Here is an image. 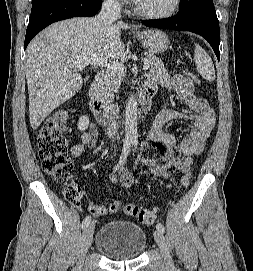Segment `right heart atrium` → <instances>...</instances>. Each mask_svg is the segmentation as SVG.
<instances>
[{"instance_id": "d8ad5b80", "label": "right heart atrium", "mask_w": 253, "mask_h": 271, "mask_svg": "<svg viewBox=\"0 0 253 271\" xmlns=\"http://www.w3.org/2000/svg\"><path fill=\"white\" fill-rule=\"evenodd\" d=\"M107 1L116 6H124L128 2V0H107Z\"/></svg>"}]
</instances>
